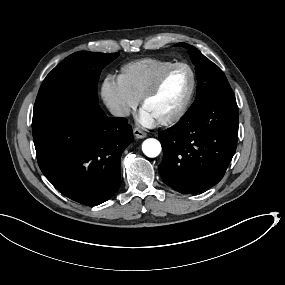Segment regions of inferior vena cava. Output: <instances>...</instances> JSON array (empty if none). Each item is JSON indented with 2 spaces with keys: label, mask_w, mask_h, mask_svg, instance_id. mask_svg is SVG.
<instances>
[{
  "label": "inferior vena cava",
  "mask_w": 285,
  "mask_h": 285,
  "mask_svg": "<svg viewBox=\"0 0 285 285\" xmlns=\"http://www.w3.org/2000/svg\"><path fill=\"white\" fill-rule=\"evenodd\" d=\"M109 111L115 117H127L130 114V108L124 105H112Z\"/></svg>",
  "instance_id": "602c4592"
}]
</instances>
